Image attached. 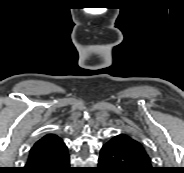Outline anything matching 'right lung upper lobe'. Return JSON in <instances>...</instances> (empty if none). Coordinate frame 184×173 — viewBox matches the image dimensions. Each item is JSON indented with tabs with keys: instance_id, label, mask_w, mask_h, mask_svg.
Returning a JSON list of instances; mask_svg holds the SVG:
<instances>
[{
	"instance_id": "cb5924a9",
	"label": "right lung upper lobe",
	"mask_w": 184,
	"mask_h": 173,
	"mask_svg": "<svg viewBox=\"0 0 184 173\" xmlns=\"http://www.w3.org/2000/svg\"><path fill=\"white\" fill-rule=\"evenodd\" d=\"M64 146L66 145L59 136L47 134L34 144L30 150L29 158L52 154Z\"/></svg>"
}]
</instances>
